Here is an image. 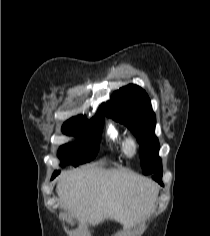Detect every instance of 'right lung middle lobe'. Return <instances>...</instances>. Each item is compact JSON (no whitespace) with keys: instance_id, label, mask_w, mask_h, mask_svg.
Listing matches in <instances>:
<instances>
[{"instance_id":"1","label":"right lung middle lobe","mask_w":210,"mask_h":236,"mask_svg":"<svg viewBox=\"0 0 210 236\" xmlns=\"http://www.w3.org/2000/svg\"><path fill=\"white\" fill-rule=\"evenodd\" d=\"M104 112H98L91 120L73 117L63 125V132L67 135L79 137L76 144H66L60 147L58 156L61 159V166L72 164L78 166L95 158L103 128ZM85 122V125H84Z\"/></svg>"}]
</instances>
